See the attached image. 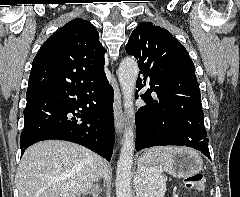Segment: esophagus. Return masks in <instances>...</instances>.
Instances as JSON below:
<instances>
[{"label":"esophagus","mask_w":240,"mask_h":197,"mask_svg":"<svg viewBox=\"0 0 240 197\" xmlns=\"http://www.w3.org/2000/svg\"><path fill=\"white\" fill-rule=\"evenodd\" d=\"M112 85L114 88V102H113L114 126H115V130L119 136V140H120V142H122L121 134H122L123 128H124V115H123V111H122L121 93H120V89H119L118 83H117L114 75H113V79H112Z\"/></svg>","instance_id":"esophagus-1"}]
</instances>
